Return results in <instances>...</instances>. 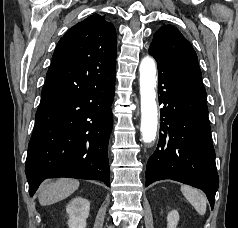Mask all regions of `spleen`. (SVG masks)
I'll return each instance as SVG.
<instances>
[{
  "mask_svg": "<svg viewBox=\"0 0 238 228\" xmlns=\"http://www.w3.org/2000/svg\"><path fill=\"white\" fill-rule=\"evenodd\" d=\"M181 192L200 215L205 214L207 198L202 191L187 185H182Z\"/></svg>",
  "mask_w": 238,
  "mask_h": 228,
  "instance_id": "3e777b00",
  "label": "spleen"
}]
</instances>
